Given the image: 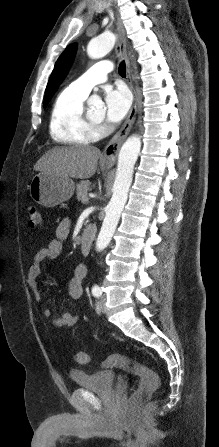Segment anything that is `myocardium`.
Returning <instances> with one entry per match:
<instances>
[{"mask_svg": "<svg viewBox=\"0 0 219 447\" xmlns=\"http://www.w3.org/2000/svg\"><path fill=\"white\" fill-rule=\"evenodd\" d=\"M83 116H84V120L86 122L87 125H89L90 127H92L95 130H98L101 126V121H96L94 120L89 112H87V110L83 109Z\"/></svg>", "mask_w": 219, "mask_h": 447, "instance_id": "obj_1", "label": "myocardium"}]
</instances>
